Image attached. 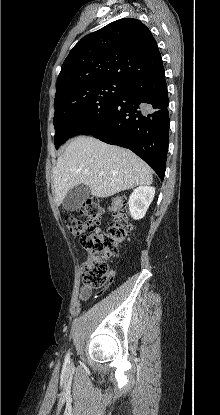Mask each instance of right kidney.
I'll use <instances>...</instances> for the list:
<instances>
[{"mask_svg":"<svg viewBox=\"0 0 220 415\" xmlns=\"http://www.w3.org/2000/svg\"><path fill=\"white\" fill-rule=\"evenodd\" d=\"M155 195V188L150 186H139L133 190L129 197V212L135 220L142 219Z\"/></svg>","mask_w":220,"mask_h":415,"instance_id":"ca27d5eb","label":"right kidney"}]
</instances>
